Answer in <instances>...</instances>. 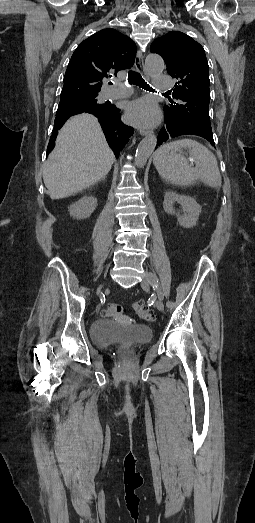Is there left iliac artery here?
Instances as JSON below:
<instances>
[{
    "label": "left iliac artery",
    "instance_id": "left-iliac-artery-1",
    "mask_svg": "<svg viewBox=\"0 0 255 523\" xmlns=\"http://www.w3.org/2000/svg\"><path fill=\"white\" fill-rule=\"evenodd\" d=\"M148 281L153 286L154 290H156L158 298L160 300H163L164 295H163L162 291L160 290V288L158 287V284L154 283V281L151 278H149Z\"/></svg>",
    "mask_w": 255,
    "mask_h": 523
}]
</instances>
